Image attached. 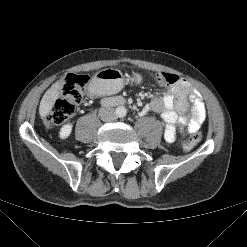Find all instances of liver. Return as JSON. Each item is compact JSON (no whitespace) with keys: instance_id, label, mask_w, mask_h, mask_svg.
I'll return each instance as SVG.
<instances>
[{"instance_id":"liver-1","label":"liver","mask_w":247,"mask_h":247,"mask_svg":"<svg viewBox=\"0 0 247 247\" xmlns=\"http://www.w3.org/2000/svg\"><path fill=\"white\" fill-rule=\"evenodd\" d=\"M61 89V82H56L45 92L39 106V114L41 118L46 117V115L50 113L56 99L59 98Z\"/></svg>"}]
</instances>
